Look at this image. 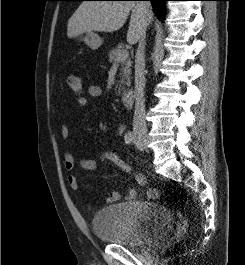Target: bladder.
<instances>
[{
    "instance_id": "obj_1",
    "label": "bladder",
    "mask_w": 245,
    "mask_h": 265,
    "mask_svg": "<svg viewBox=\"0 0 245 265\" xmlns=\"http://www.w3.org/2000/svg\"><path fill=\"white\" fill-rule=\"evenodd\" d=\"M170 225L168 211L148 201L118 202L98 210L91 227L106 242L139 247L164 236Z\"/></svg>"
}]
</instances>
